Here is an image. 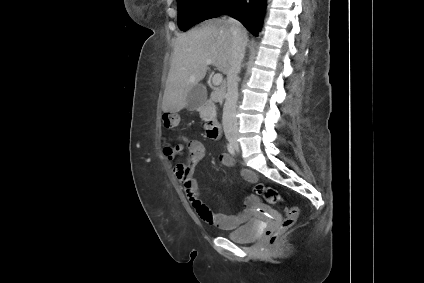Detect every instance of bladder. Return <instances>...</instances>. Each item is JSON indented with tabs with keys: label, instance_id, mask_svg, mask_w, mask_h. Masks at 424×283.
I'll return each instance as SVG.
<instances>
[{
	"label": "bladder",
	"instance_id": "obj_1",
	"mask_svg": "<svg viewBox=\"0 0 424 283\" xmlns=\"http://www.w3.org/2000/svg\"><path fill=\"white\" fill-rule=\"evenodd\" d=\"M261 232L259 220H250L245 225L228 233V238L235 243H249L257 239Z\"/></svg>",
	"mask_w": 424,
	"mask_h": 283
}]
</instances>
